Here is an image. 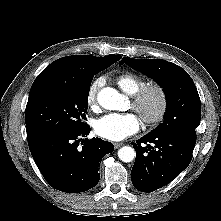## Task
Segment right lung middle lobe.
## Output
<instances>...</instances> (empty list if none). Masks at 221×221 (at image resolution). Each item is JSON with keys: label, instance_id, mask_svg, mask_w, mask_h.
Segmentation results:
<instances>
[{"label": "right lung middle lobe", "instance_id": "1", "mask_svg": "<svg viewBox=\"0 0 221 221\" xmlns=\"http://www.w3.org/2000/svg\"><path fill=\"white\" fill-rule=\"evenodd\" d=\"M114 62L103 61L84 79L38 75L26 106L28 141L52 132L80 130L85 123L88 95L95 74Z\"/></svg>", "mask_w": 221, "mask_h": 221}]
</instances>
